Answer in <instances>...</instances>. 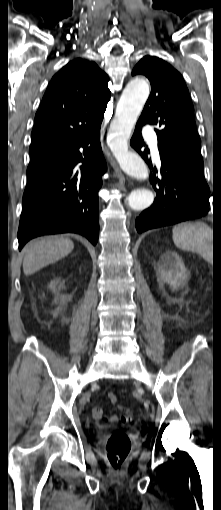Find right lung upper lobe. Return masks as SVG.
I'll use <instances>...</instances> for the list:
<instances>
[{
  "label": "right lung upper lobe",
  "mask_w": 221,
  "mask_h": 510,
  "mask_svg": "<svg viewBox=\"0 0 221 510\" xmlns=\"http://www.w3.org/2000/svg\"><path fill=\"white\" fill-rule=\"evenodd\" d=\"M107 83L94 62L80 58L55 74L35 116L30 153L56 149L102 123L110 98Z\"/></svg>",
  "instance_id": "1"
}]
</instances>
